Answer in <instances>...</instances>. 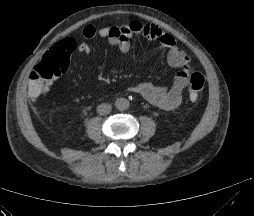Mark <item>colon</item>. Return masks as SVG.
I'll return each mask as SVG.
<instances>
[{"mask_svg":"<svg viewBox=\"0 0 254 216\" xmlns=\"http://www.w3.org/2000/svg\"><path fill=\"white\" fill-rule=\"evenodd\" d=\"M68 56L58 49L47 52L34 67L33 74L26 82L24 92L26 97L34 102L44 100L53 86V80L60 77L68 69ZM205 86V77L200 71L189 75V97L195 101Z\"/></svg>","mask_w":254,"mask_h":216,"instance_id":"1","label":"colon"}]
</instances>
